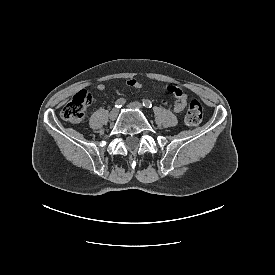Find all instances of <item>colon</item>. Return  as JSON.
I'll use <instances>...</instances> for the list:
<instances>
[{"mask_svg":"<svg viewBox=\"0 0 275 275\" xmlns=\"http://www.w3.org/2000/svg\"><path fill=\"white\" fill-rule=\"evenodd\" d=\"M93 94L89 90L77 92L61 110V116L72 123H82L86 118V105L91 102ZM204 109L198 100H192L185 114V123L196 126L202 120Z\"/></svg>","mask_w":275,"mask_h":275,"instance_id":"1","label":"colon"}]
</instances>
